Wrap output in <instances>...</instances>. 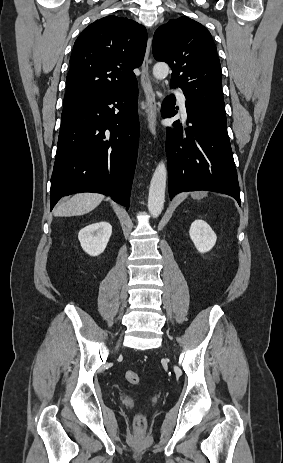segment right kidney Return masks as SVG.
I'll return each instance as SVG.
<instances>
[{
  "label": "right kidney",
  "instance_id": "right-kidney-1",
  "mask_svg": "<svg viewBox=\"0 0 283 463\" xmlns=\"http://www.w3.org/2000/svg\"><path fill=\"white\" fill-rule=\"evenodd\" d=\"M112 234V226L101 221L90 224L80 230L78 239L82 249L90 256H98L104 252Z\"/></svg>",
  "mask_w": 283,
  "mask_h": 463
}]
</instances>
